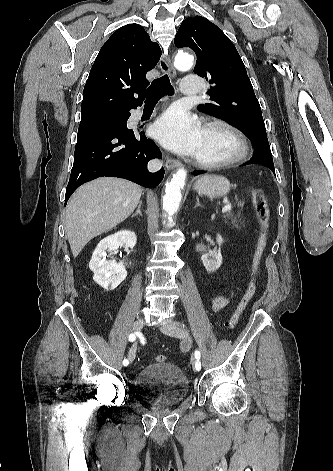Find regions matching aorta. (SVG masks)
I'll use <instances>...</instances> for the list:
<instances>
[{"instance_id":"1","label":"aorta","mask_w":333,"mask_h":471,"mask_svg":"<svg viewBox=\"0 0 333 471\" xmlns=\"http://www.w3.org/2000/svg\"><path fill=\"white\" fill-rule=\"evenodd\" d=\"M193 56L180 53L175 58V67L180 71H187L193 65ZM187 172L180 168L173 174L170 181L166 183L165 195L163 196V209L167 213L169 226H173L172 216L178 211L182 199L181 190L185 186Z\"/></svg>"}]
</instances>
